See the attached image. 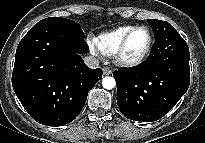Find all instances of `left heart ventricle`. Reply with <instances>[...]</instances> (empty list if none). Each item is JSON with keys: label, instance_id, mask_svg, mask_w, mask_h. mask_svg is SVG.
<instances>
[{"label": "left heart ventricle", "instance_id": "b2bd125f", "mask_svg": "<svg viewBox=\"0 0 205 143\" xmlns=\"http://www.w3.org/2000/svg\"><path fill=\"white\" fill-rule=\"evenodd\" d=\"M148 43V34L144 29L136 30L129 38L124 57L135 59L145 50Z\"/></svg>", "mask_w": 205, "mask_h": 143}]
</instances>
